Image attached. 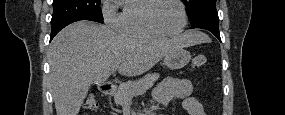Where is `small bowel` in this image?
Returning <instances> with one entry per match:
<instances>
[{"mask_svg": "<svg viewBox=\"0 0 285 115\" xmlns=\"http://www.w3.org/2000/svg\"><path fill=\"white\" fill-rule=\"evenodd\" d=\"M192 82L188 79L165 78L152 91V101L158 106H167L172 99L183 98V107L189 115H205V111L197 98L191 95Z\"/></svg>", "mask_w": 285, "mask_h": 115, "instance_id": "c3829d8e", "label": "small bowel"}]
</instances>
